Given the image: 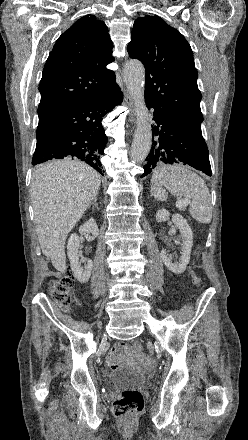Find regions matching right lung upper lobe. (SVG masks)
Masks as SVG:
<instances>
[{"mask_svg":"<svg viewBox=\"0 0 248 440\" xmlns=\"http://www.w3.org/2000/svg\"><path fill=\"white\" fill-rule=\"evenodd\" d=\"M113 44L105 23L83 16L56 41L44 66L39 85L38 115L72 101L98 96L113 84Z\"/></svg>","mask_w":248,"mask_h":440,"instance_id":"right-lung-upper-lobe-1","label":"right lung upper lobe"}]
</instances>
